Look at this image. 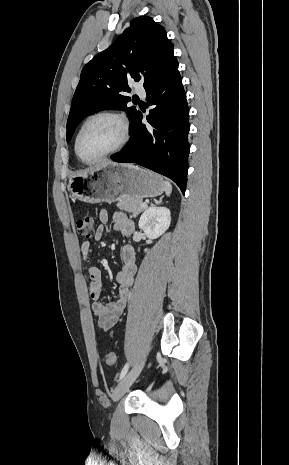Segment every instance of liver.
<instances>
[{
  "label": "liver",
  "mask_w": 289,
  "mask_h": 465,
  "mask_svg": "<svg viewBox=\"0 0 289 465\" xmlns=\"http://www.w3.org/2000/svg\"><path fill=\"white\" fill-rule=\"evenodd\" d=\"M111 163H112V162L108 161V162H106L105 164H111ZM114 164H115V163H114Z\"/></svg>",
  "instance_id": "obj_1"
}]
</instances>
